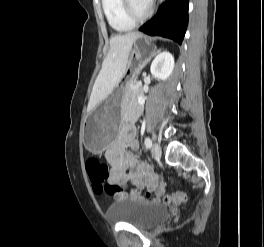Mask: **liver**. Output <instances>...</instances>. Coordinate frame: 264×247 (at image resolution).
<instances>
[{
  "instance_id": "liver-1",
  "label": "liver",
  "mask_w": 264,
  "mask_h": 247,
  "mask_svg": "<svg viewBox=\"0 0 264 247\" xmlns=\"http://www.w3.org/2000/svg\"><path fill=\"white\" fill-rule=\"evenodd\" d=\"M140 36L141 34L137 32H131L111 37L110 50L103 61L102 69L94 83L87 112H91L106 99L124 76L132 45Z\"/></svg>"
}]
</instances>
